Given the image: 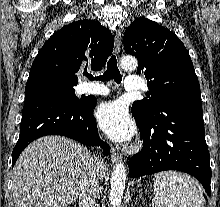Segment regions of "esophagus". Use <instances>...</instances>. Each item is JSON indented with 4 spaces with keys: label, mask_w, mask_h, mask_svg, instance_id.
Returning a JSON list of instances; mask_svg holds the SVG:
<instances>
[{
    "label": "esophagus",
    "mask_w": 220,
    "mask_h": 207,
    "mask_svg": "<svg viewBox=\"0 0 220 207\" xmlns=\"http://www.w3.org/2000/svg\"><path fill=\"white\" fill-rule=\"evenodd\" d=\"M114 39H115L114 52L116 54H118L120 52V48H121V34L119 32H116L115 36H114ZM111 160H112L113 163L120 162L121 161V156L115 150H112Z\"/></svg>",
    "instance_id": "obj_1"
}]
</instances>
